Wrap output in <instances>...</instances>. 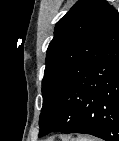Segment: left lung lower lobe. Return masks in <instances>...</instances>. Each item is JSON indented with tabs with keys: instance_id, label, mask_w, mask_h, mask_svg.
<instances>
[{
	"instance_id": "0a47b994",
	"label": "left lung lower lobe",
	"mask_w": 119,
	"mask_h": 141,
	"mask_svg": "<svg viewBox=\"0 0 119 141\" xmlns=\"http://www.w3.org/2000/svg\"><path fill=\"white\" fill-rule=\"evenodd\" d=\"M40 132L85 133L119 141V16L83 72L41 112Z\"/></svg>"
}]
</instances>
